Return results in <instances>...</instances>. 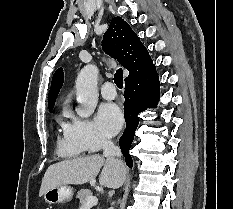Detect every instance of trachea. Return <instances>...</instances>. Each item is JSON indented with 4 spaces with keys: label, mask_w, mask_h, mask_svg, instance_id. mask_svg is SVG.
<instances>
[{
    "label": "trachea",
    "mask_w": 233,
    "mask_h": 209,
    "mask_svg": "<svg viewBox=\"0 0 233 209\" xmlns=\"http://www.w3.org/2000/svg\"><path fill=\"white\" fill-rule=\"evenodd\" d=\"M114 83L119 89L123 88V70L121 68L114 75Z\"/></svg>",
    "instance_id": "1"
}]
</instances>
